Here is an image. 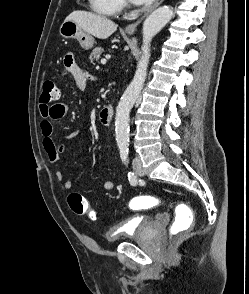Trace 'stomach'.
Wrapping results in <instances>:
<instances>
[{
  "label": "stomach",
  "instance_id": "1",
  "mask_svg": "<svg viewBox=\"0 0 249 294\" xmlns=\"http://www.w3.org/2000/svg\"><path fill=\"white\" fill-rule=\"evenodd\" d=\"M59 33L65 39H77L81 47L85 50H89L93 47V37L90 34L83 31L73 21L65 20L59 28Z\"/></svg>",
  "mask_w": 249,
  "mask_h": 294
}]
</instances>
